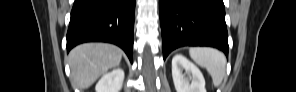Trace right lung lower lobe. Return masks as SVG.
I'll use <instances>...</instances> for the list:
<instances>
[{
    "label": "right lung lower lobe",
    "instance_id": "1",
    "mask_svg": "<svg viewBox=\"0 0 296 92\" xmlns=\"http://www.w3.org/2000/svg\"><path fill=\"white\" fill-rule=\"evenodd\" d=\"M135 0H75L67 50L83 42H109L133 55Z\"/></svg>",
    "mask_w": 296,
    "mask_h": 92
}]
</instances>
